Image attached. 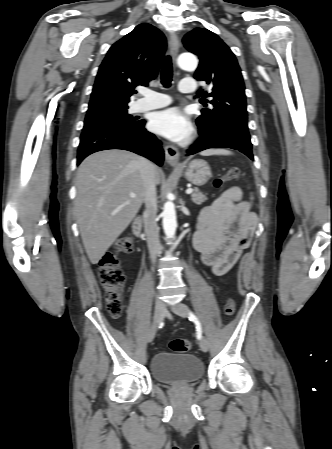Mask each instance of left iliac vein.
Segmentation results:
<instances>
[{
  "label": "left iliac vein",
  "mask_w": 332,
  "mask_h": 449,
  "mask_svg": "<svg viewBox=\"0 0 332 449\" xmlns=\"http://www.w3.org/2000/svg\"><path fill=\"white\" fill-rule=\"evenodd\" d=\"M171 310H172L175 314H177V315H179V316H181V317H187V316H188V308H187V306H186L185 304H183V303H178V304L172 306V307H171ZM198 343H199L200 349H201L203 352H207V351H208L209 345H208V342H207V340H206L205 338L199 339V342H198Z\"/></svg>",
  "instance_id": "left-iliac-vein-1"
}]
</instances>
